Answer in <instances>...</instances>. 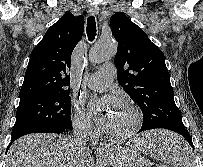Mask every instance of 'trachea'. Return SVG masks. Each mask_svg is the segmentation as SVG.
Instances as JSON below:
<instances>
[{"label":"trachea","instance_id":"trachea-1","mask_svg":"<svg viewBox=\"0 0 203 167\" xmlns=\"http://www.w3.org/2000/svg\"><path fill=\"white\" fill-rule=\"evenodd\" d=\"M87 36L89 41H93L96 37V21L95 18L93 16H90L87 19Z\"/></svg>","mask_w":203,"mask_h":167}]
</instances>
